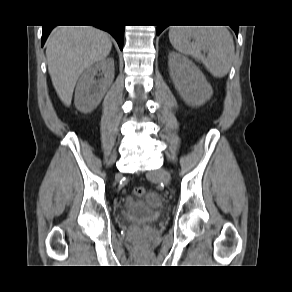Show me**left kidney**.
<instances>
[{"label":"left kidney","mask_w":292,"mask_h":292,"mask_svg":"<svg viewBox=\"0 0 292 292\" xmlns=\"http://www.w3.org/2000/svg\"><path fill=\"white\" fill-rule=\"evenodd\" d=\"M168 67L175 88L188 105L201 106L211 98L213 95L211 85L191 60L171 52Z\"/></svg>","instance_id":"1"}]
</instances>
